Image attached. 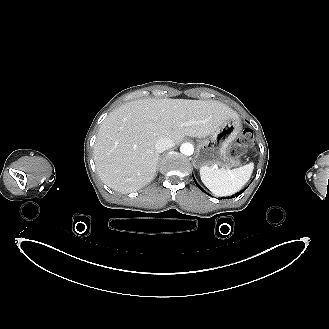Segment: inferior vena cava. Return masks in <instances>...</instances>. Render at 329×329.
Here are the masks:
<instances>
[{"mask_svg": "<svg viewBox=\"0 0 329 329\" xmlns=\"http://www.w3.org/2000/svg\"><path fill=\"white\" fill-rule=\"evenodd\" d=\"M174 142L169 139V138H160L156 144H155V149L158 153H162L164 152L165 150L169 149V148H172L174 146Z\"/></svg>", "mask_w": 329, "mask_h": 329, "instance_id": "602c4592", "label": "inferior vena cava"}]
</instances>
